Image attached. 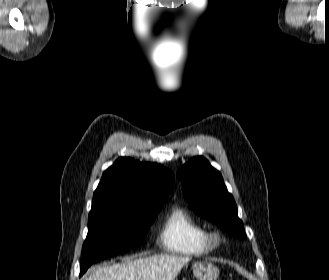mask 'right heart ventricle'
I'll return each instance as SVG.
<instances>
[{
  "label": "right heart ventricle",
  "instance_id": "right-heart-ventricle-1",
  "mask_svg": "<svg viewBox=\"0 0 329 280\" xmlns=\"http://www.w3.org/2000/svg\"><path fill=\"white\" fill-rule=\"evenodd\" d=\"M160 242L167 252L174 254L201 256L212 251L207 228L181 206L172 208L168 214Z\"/></svg>",
  "mask_w": 329,
  "mask_h": 280
}]
</instances>
